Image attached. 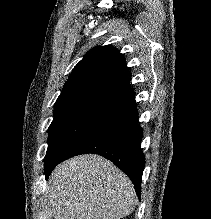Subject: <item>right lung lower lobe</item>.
<instances>
[{
    "label": "right lung lower lobe",
    "instance_id": "right-lung-lower-lobe-1",
    "mask_svg": "<svg viewBox=\"0 0 211 219\" xmlns=\"http://www.w3.org/2000/svg\"><path fill=\"white\" fill-rule=\"evenodd\" d=\"M137 120V107L132 99L81 137L57 164L80 154H99L127 174L140 197L145 157L140 146L143 133Z\"/></svg>",
    "mask_w": 211,
    "mask_h": 219
}]
</instances>
